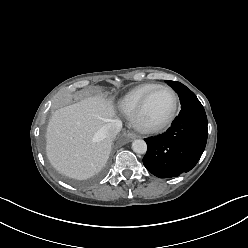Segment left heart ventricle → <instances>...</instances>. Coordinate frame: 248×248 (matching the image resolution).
I'll use <instances>...</instances> for the list:
<instances>
[{
    "mask_svg": "<svg viewBox=\"0 0 248 248\" xmlns=\"http://www.w3.org/2000/svg\"><path fill=\"white\" fill-rule=\"evenodd\" d=\"M173 98L165 89H155L149 96L144 108L142 120L155 124L163 120L171 111Z\"/></svg>",
    "mask_w": 248,
    "mask_h": 248,
    "instance_id": "b2bd125f",
    "label": "left heart ventricle"
}]
</instances>
